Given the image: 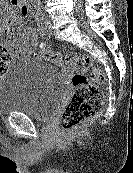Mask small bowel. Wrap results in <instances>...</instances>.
<instances>
[{
	"instance_id": "obj_1",
	"label": "small bowel",
	"mask_w": 133,
	"mask_h": 173,
	"mask_svg": "<svg viewBox=\"0 0 133 173\" xmlns=\"http://www.w3.org/2000/svg\"><path fill=\"white\" fill-rule=\"evenodd\" d=\"M13 5H17L11 0ZM22 15L23 12L21 10ZM10 36L6 45H0L11 57H29L34 55L38 40L33 28H27L24 32L21 30V21L18 15H11L9 19Z\"/></svg>"
}]
</instances>
